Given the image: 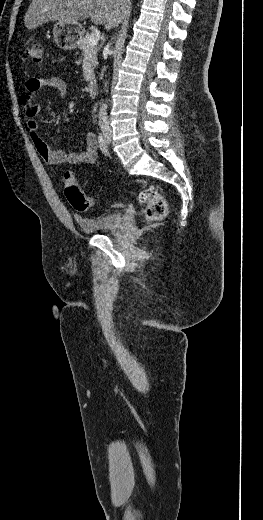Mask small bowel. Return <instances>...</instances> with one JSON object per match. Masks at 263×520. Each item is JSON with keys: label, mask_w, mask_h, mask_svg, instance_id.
Returning a JSON list of instances; mask_svg holds the SVG:
<instances>
[{"label": "small bowel", "mask_w": 263, "mask_h": 520, "mask_svg": "<svg viewBox=\"0 0 263 520\" xmlns=\"http://www.w3.org/2000/svg\"><path fill=\"white\" fill-rule=\"evenodd\" d=\"M43 87H53L58 90L60 94L67 92L66 82L59 77L29 78L25 82L24 90L20 95V101L24 107L26 116L25 129L29 133L39 155L51 166H61L65 164H88L96 166L98 164V145L94 133H86V148L82 152L72 153H66L63 150H51L47 143L41 138L38 133V123L35 119L41 112V106L34 103V95Z\"/></svg>", "instance_id": "1"}]
</instances>
